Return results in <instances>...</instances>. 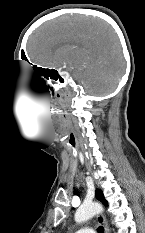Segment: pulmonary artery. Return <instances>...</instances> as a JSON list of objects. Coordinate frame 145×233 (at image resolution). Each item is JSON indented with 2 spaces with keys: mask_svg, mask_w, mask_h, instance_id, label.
<instances>
[{
  "mask_svg": "<svg viewBox=\"0 0 145 233\" xmlns=\"http://www.w3.org/2000/svg\"><path fill=\"white\" fill-rule=\"evenodd\" d=\"M75 233H95V232L89 228H82V229L77 230Z\"/></svg>",
  "mask_w": 145,
  "mask_h": 233,
  "instance_id": "obj_1",
  "label": "pulmonary artery"
}]
</instances>
